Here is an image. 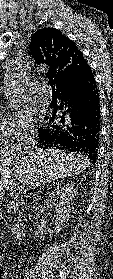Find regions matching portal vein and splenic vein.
<instances>
[{"mask_svg":"<svg viewBox=\"0 0 113 279\" xmlns=\"http://www.w3.org/2000/svg\"><path fill=\"white\" fill-rule=\"evenodd\" d=\"M17 189H18L19 191H23V190L26 189V186H24V185H18V186H17Z\"/></svg>","mask_w":113,"mask_h":279,"instance_id":"obj_1","label":"portal vein and splenic vein"}]
</instances>
